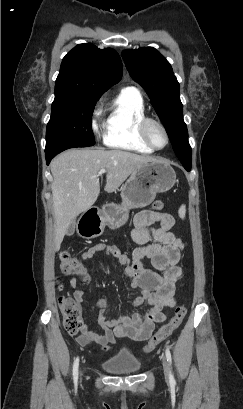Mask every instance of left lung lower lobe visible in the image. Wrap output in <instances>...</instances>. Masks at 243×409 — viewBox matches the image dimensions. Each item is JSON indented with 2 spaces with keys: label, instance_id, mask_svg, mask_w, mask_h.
Here are the masks:
<instances>
[{
  "label": "left lung lower lobe",
  "instance_id": "left-lung-lower-lobe-1",
  "mask_svg": "<svg viewBox=\"0 0 243 409\" xmlns=\"http://www.w3.org/2000/svg\"><path fill=\"white\" fill-rule=\"evenodd\" d=\"M183 166H184V168H185L187 171H190L191 166H188V165H183Z\"/></svg>",
  "mask_w": 243,
  "mask_h": 409
}]
</instances>
